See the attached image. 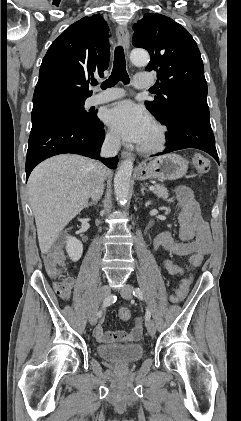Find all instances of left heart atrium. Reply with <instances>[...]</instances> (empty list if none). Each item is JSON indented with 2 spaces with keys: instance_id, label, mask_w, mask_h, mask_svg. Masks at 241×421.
Here are the masks:
<instances>
[{
  "instance_id": "39dd6f15",
  "label": "left heart atrium",
  "mask_w": 241,
  "mask_h": 421,
  "mask_svg": "<svg viewBox=\"0 0 241 421\" xmlns=\"http://www.w3.org/2000/svg\"><path fill=\"white\" fill-rule=\"evenodd\" d=\"M104 121L124 141L137 144L144 141L152 127V119L146 110L130 100L109 106Z\"/></svg>"
}]
</instances>
